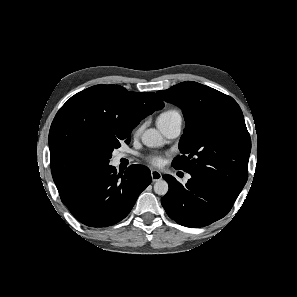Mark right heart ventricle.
Segmentation results:
<instances>
[{
  "instance_id": "e07e8e85",
  "label": "right heart ventricle",
  "mask_w": 297,
  "mask_h": 297,
  "mask_svg": "<svg viewBox=\"0 0 297 297\" xmlns=\"http://www.w3.org/2000/svg\"><path fill=\"white\" fill-rule=\"evenodd\" d=\"M177 118H181V114L178 110L176 109H169L165 112H163L160 116H159V123L160 122H168Z\"/></svg>"
}]
</instances>
